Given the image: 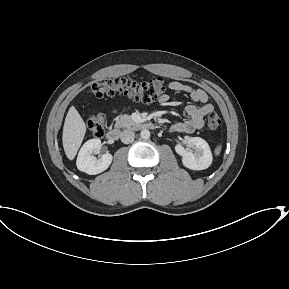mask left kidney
Instances as JSON below:
<instances>
[{
    "label": "left kidney",
    "mask_w": 289,
    "mask_h": 289,
    "mask_svg": "<svg viewBox=\"0 0 289 289\" xmlns=\"http://www.w3.org/2000/svg\"><path fill=\"white\" fill-rule=\"evenodd\" d=\"M189 147L194 149L187 150L178 144L175 147L176 152L181 156L182 163L191 170L207 169L212 163V153L208 143L200 137H185Z\"/></svg>",
    "instance_id": "5707ae66"
}]
</instances>
